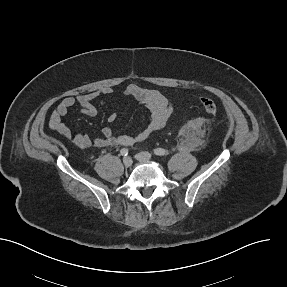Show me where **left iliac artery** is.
Here are the masks:
<instances>
[{"instance_id":"44dca946","label":"left iliac artery","mask_w":287,"mask_h":287,"mask_svg":"<svg viewBox=\"0 0 287 287\" xmlns=\"http://www.w3.org/2000/svg\"><path fill=\"white\" fill-rule=\"evenodd\" d=\"M154 154L157 156H166L169 154V152L163 148H157L154 150Z\"/></svg>"}]
</instances>
